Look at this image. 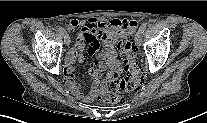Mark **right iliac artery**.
<instances>
[{
  "label": "right iliac artery",
  "instance_id": "1",
  "mask_svg": "<svg viewBox=\"0 0 207 123\" xmlns=\"http://www.w3.org/2000/svg\"><path fill=\"white\" fill-rule=\"evenodd\" d=\"M58 31L62 35H65L66 34V31L63 28H61V27L58 29Z\"/></svg>",
  "mask_w": 207,
  "mask_h": 123
}]
</instances>
